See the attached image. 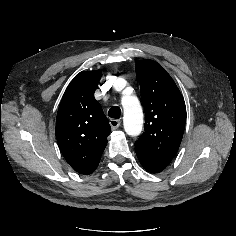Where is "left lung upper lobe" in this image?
Returning <instances> with one entry per match:
<instances>
[{
	"label": "left lung upper lobe",
	"instance_id": "left-lung-upper-lobe-1",
	"mask_svg": "<svg viewBox=\"0 0 236 236\" xmlns=\"http://www.w3.org/2000/svg\"><path fill=\"white\" fill-rule=\"evenodd\" d=\"M145 109V132L135 143V150L171 162L180 146L186 106L174 80L153 60L136 65Z\"/></svg>",
	"mask_w": 236,
	"mask_h": 236
}]
</instances>
